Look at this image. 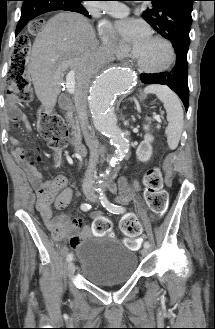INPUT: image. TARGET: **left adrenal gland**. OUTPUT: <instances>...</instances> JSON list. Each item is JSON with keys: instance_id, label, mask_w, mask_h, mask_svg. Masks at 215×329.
Returning <instances> with one entry per match:
<instances>
[{"instance_id": "1", "label": "left adrenal gland", "mask_w": 215, "mask_h": 329, "mask_svg": "<svg viewBox=\"0 0 215 329\" xmlns=\"http://www.w3.org/2000/svg\"><path fill=\"white\" fill-rule=\"evenodd\" d=\"M128 100L132 101V98H129Z\"/></svg>"}]
</instances>
